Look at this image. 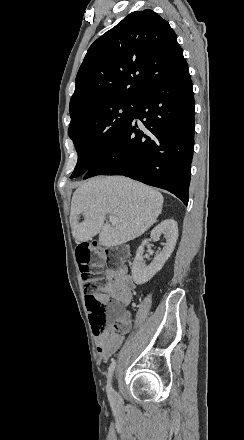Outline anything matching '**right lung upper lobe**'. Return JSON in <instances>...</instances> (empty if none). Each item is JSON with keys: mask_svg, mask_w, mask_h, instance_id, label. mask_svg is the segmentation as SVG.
I'll return each mask as SVG.
<instances>
[{"mask_svg": "<svg viewBox=\"0 0 244 440\" xmlns=\"http://www.w3.org/2000/svg\"><path fill=\"white\" fill-rule=\"evenodd\" d=\"M185 62L166 20L150 9L132 12L88 49L69 111L108 98L139 99L157 74Z\"/></svg>", "mask_w": 244, "mask_h": 440, "instance_id": "cb5924a9", "label": "right lung upper lobe"}]
</instances>
